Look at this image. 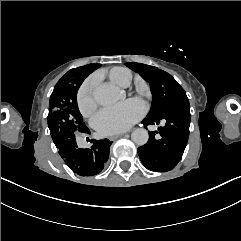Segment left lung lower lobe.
Returning <instances> with one entry per match:
<instances>
[{
    "instance_id": "0a47b994",
    "label": "left lung lower lobe",
    "mask_w": 241,
    "mask_h": 241,
    "mask_svg": "<svg viewBox=\"0 0 241 241\" xmlns=\"http://www.w3.org/2000/svg\"><path fill=\"white\" fill-rule=\"evenodd\" d=\"M190 119L188 100L178 102L160 115L144 118L145 128L165 121V125L158 128L160 137L155 138V132H149L148 142L138 148L140 160L147 169L166 172L178 164L187 145Z\"/></svg>"
}]
</instances>
